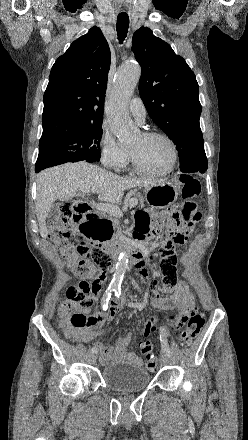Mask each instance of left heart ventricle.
Returning a JSON list of instances; mask_svg holds the SVG:
<instances>
[{"instance_id":"1","label":"left heart ventricle","mask_w":248,"mask_h":440,"mask_svg":"<svg viewBox=\"0 0 248 440\" xmlns=\"http://www.w3.org/2000/svg\"><path fill=\"white\" fill-rule=\"evenodd\" d=\"M139 164L146 170L160 172L167 169L172 160L170 145L162 138H147L140 134L131 144Z\"/></svg>"}]
</instances>
